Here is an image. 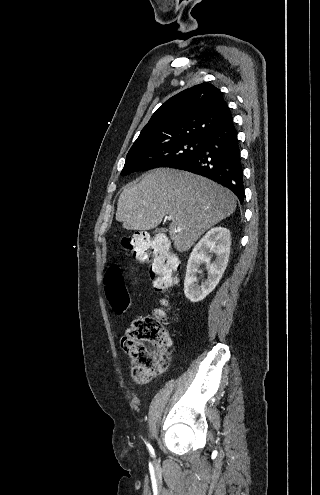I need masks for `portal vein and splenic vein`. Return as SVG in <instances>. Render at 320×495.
<instances>
[{
	"mask_svg": "<svg viewBox=\"0 0 320 495\" xmlns=\"http://www.w3.org/2000/svg\"><path fill=\"white\" fill-rule=\"evenodd\" d=\"M172 218H173V217H172L171 215H168V216H167V219H168V220H172Z\"/></svg>",
	"mask_w": 320,
	"mask_h": 495,
	"instance_id": "obj_1",
	"label": "portal vein and splenic vein"
}]
</instances>
